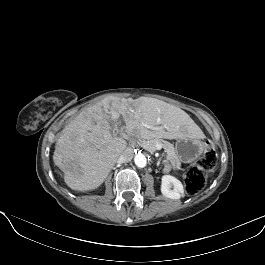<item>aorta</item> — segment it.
I'll return each mask as SVG.
<instances>
[{
  "label": "aorta",
  "mask_w": 265,
  "mask_h": 265,
  "mask_svg": "<svg viewBox=\"0 0 265 265\" xmlns=\"http://www.w3.org/2000/svg\"><path fill=\"white\" fill-rule=\"evenodd\" d=\"M134 162L137 167L144 168L147 164V158L144 154L138 153L134 157Z\"/></svg>",
  "instance_id": "762f6f07"
}]
</instances>
